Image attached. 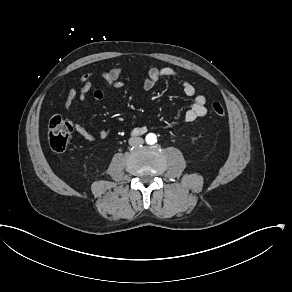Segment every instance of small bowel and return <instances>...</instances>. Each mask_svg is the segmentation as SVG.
<instances>
[{
    "label": "small bowel",
    "mask_w": 292,
    "mask_h": 292,
    "mask_svg": "<svg viewBox=\"0 0 292 292\" xmlns=\"http://www.w3.org/2000/svg\"><path fill=\"white\" fill-rule=\"evenodd\" d=\"M123 72L122 67H114L106 69L99 73V76L106 81V83L113 89H120L123 83L120 81ZM96 76L95 72L84 73L80 77L81 88L77 91L69 89L64 101V110L69 113L73 107L74 102L79 98L83 99L90 97L95 100H102L104 93L101 90H92V83ZM162 78H172L180 82L184 94L188 97H193L191 107L185 113V119L188 122L195 121L206 115V98L201 94H196L194 84L186 79H182L179 73L171 67H156L149 66L143 80V87L145 90H151L157 82ZM75 133L87 141H95L97 139H107L110 135L109 129H103L97 134L90 132L84 125L79 122L72 123Z\"/></svg>",
    "instance_id": "obj_1"
}]
</instances>
